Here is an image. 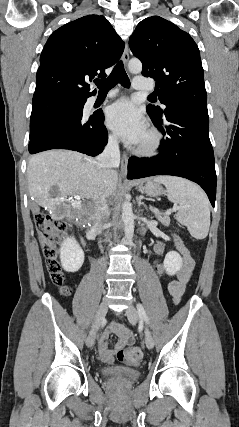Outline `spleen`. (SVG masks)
I'll list each match as a JSON object with an SVG mask.
<instances>
[{"instance_id":"obj_1","label":"spleen","mask_w":239,"mask_h":427,"mask_svg":"<svg viewBox=\"0 0 239 427\" xmlns=\"http://www.w3.org/2000/svg\"><path fill=\"white\" fill-rule=\"evenodd\" d=\"M155 182L165 185L168 199L179 205L176 219L196 239L207 237L210 227V206L203 190L184 178L157 176Z\"/></svg>"}]
</instances>
